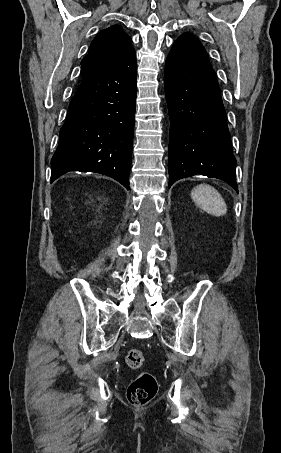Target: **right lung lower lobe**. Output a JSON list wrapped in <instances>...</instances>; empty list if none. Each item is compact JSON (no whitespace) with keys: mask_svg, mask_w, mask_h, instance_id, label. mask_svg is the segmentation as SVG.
<instances>
[{"mask_svg":"<svg viewBox=\"0 0 281 453\" xmlns=\"http://www.w3.org/2000/svg\"><path fill=\"white\" fill-rule=\"evenodd\" d=\"M136 91L135 52L112 70L82 79L51 160V183L69 171L96 172L129 189Z\"/></svg>","mask_w":281,"mask_h":453,"instance_id":"obj_1","label":"right lung lower lobe"}]
</instances>
